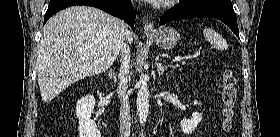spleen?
Segmentation results:
<instances>
[{
    "label": "spleen",
    "instance_id": "3e777b00",
    "mask_svg": "<svg viewBox=\"0 0 280 137\" xmlns=\"http://www.w3.org/2000/svg\"><path fill=\"white\" fill-rule=\"evenodd\" d=\"M203 35L207 41L212 43L214 47L220 51H224L228 49V44L225 39L218 34L215 30L210 28H205L203 30Z\"/></svg>",
    "mask_w": 280,
    "mask_h": 137
}]
</instances>
